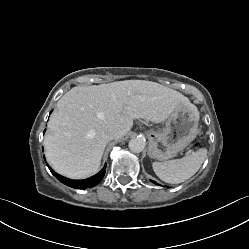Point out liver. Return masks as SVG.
<instances>
[{"label": "liver", "mask_w": 249, "mask_h": 249, "mask_svg": "<svg viewBox=\"0 0 249 249\" xmlns=\"http://www.w3.org/2000/svg\"><path fill=\"white\" fill-rule=\"evenodd\" d=\"M179 106L192 105L187 97L164 85L145 80L73 87L57 102L44 138L46 159L59 174L71 179L94 175L108 143L102 134L114 129L119 138L134 119L161 123Z\"/></svg>", "instance_id": "liver-1"}]
</instances>
